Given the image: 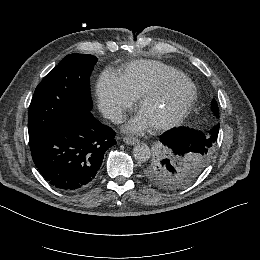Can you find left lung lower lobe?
<instances>
[{
    "instance_id": "obj_1",
    "label": "left lung lower lobe",
    "mask_w": 260,
    "mask_h": 260,
    "mask_svg": "<svg viewBox=\"0 0 260 260\" xmlns=\"http://www.w3.org/2000/svg\"><path fill=\"white\" fill-rule=\"evenodd\" d=\"M220 124L215 125L209 132L174 128L165 132L160 140L173 154L189 155L209 151L215 144Z\"/></svg>"
}]
</instances>
